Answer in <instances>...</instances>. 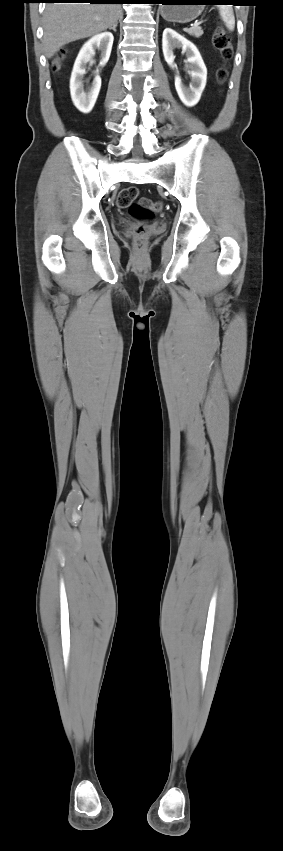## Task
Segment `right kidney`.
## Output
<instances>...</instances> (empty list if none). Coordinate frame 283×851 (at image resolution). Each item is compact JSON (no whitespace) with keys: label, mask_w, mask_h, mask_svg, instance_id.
<instances>
[{"label":"right kidney","mask_w":283,"mask_h":851,"mask_svg":"<svg viewBox=\"0 0 283 851\" xmlns=\"http://www.w3.org/2000/svg\"><path fill=\"white\" fill-rule=\"evenodd\" d=\"M114 37L110 32H103L93 36L81 48L70 78V93L71 98L76 108L82 113H89L97 100L100 88L101 78L97 74L86 90L84 89V75L86 73L87 64L92 61L95 55V50L101 52L100 66H104L110 57Z\"/></svg>","instance_id":"obj_1"}]
</instances>
